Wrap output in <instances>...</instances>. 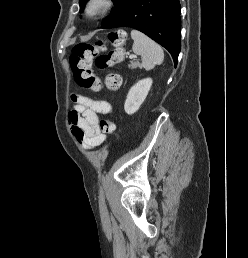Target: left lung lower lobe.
Segmentation results:
<instances>
[{
  "label": "left lung lower lobe",
  "mask_w": 248,
  "mask_h": 258,
  "mask_svg": "<svg viewBox=\"0 0 248 258\" xmlns=\"http://www.w3.org/2000/svg\"><path fill=\"white\" fill-rule=\"evenodd\" d=\"M179 0H129L102 29L131 27L166 48L177 65L180 52Z\"/></svg>",
  "instance_id": "obj_1"
}]
</instances>
